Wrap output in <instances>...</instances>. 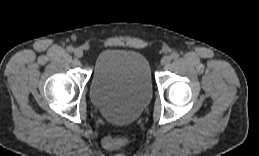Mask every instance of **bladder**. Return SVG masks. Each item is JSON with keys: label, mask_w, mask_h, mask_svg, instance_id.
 I'll return each mask as SVG.
<instances>
[{"label": "bladder", "mask_w": 259, "mask_h": 156, "mask_svg": "<svg viewBox=\"0 0 259 156\" xmlns=\"http://www.w3.org/2000/svg\"><path fill=\"white\" fill-rule=\"evenodd\" d=\"M90 96L107 120L116 123L135 120L152 97L148 60L141 53L130 50L102 51L95 62Z\"/></svg>", "instance_id": "bladder-1"}]
</instances>
